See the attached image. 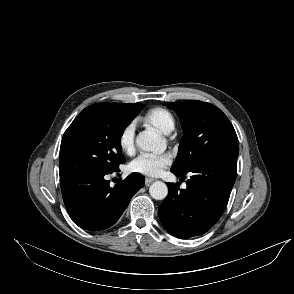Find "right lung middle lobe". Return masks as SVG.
Listing matches in <instances>:
<instances>
[{"instance_id":"obj_1","label":"right lung middle lobe","mask_w":294,"mask_h":294,"mask_svg":"<svg viewBox=\"0 0 294 294\" xmlns=\"http://www.w3.org/2000/svg\"><path fill=\"white\" fill-rule=\"evenodd\" d=\"M142 107V103H99L82 110L65 131L61 142L60 177L114 172L125 162L121 136Z\"/></svg>"}]
</instances>
